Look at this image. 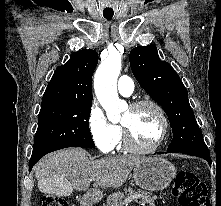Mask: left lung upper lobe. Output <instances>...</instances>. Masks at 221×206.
<instances>
[{"label": "left lung upper lobe", "instance_id": "left-lung-upper-lobe-1", "mask_svg": "<svg viewBox=\"0 0 221 206\" xmlns=\"http://www.w3.org/2000/svg\"><path fill=\"white\" fill-rule=\"evenodd\" d=\"M129 59L141 87L168 116L173 139L167 150L209 152L189 104L187 90L171 65L160 60L156 46L136 47L131 50Z\"/></svg>", "mask_w": 221, "mask_h": 206}]
</instances>
